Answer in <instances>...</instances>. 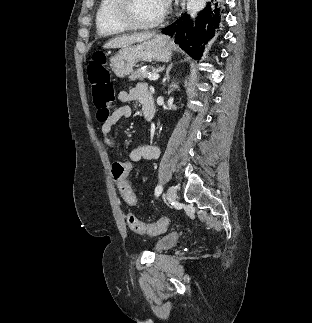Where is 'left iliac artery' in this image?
Instances as JSON below:
<instances>
[{"instance_id": "left-iliac-artery-1", "label": "left iliac artery", "mask_w": 312, "mask_h": 323, "mask_svg": "<svg viewBox=\"0 0 312 323\" xmlns=\"http://www.w3.org/2000/svg\"><path fill=\"white\" fill-rule=\"evenodd\" d=\"M162 190H163L162 185H158V186L155 188V195L158 197V196L161 194Z\"/></svg>"}]
</instances>
